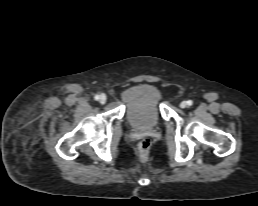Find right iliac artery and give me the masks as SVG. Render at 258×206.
I'll return each instance as SVG.
<instances>
[{"mask_svg": "<svg viewBox=\"0 0 258 206\" xmlns=\"http://www.w3.org/2000/svg\"><path fill=\"white\" fill-rule=\"evenodd\" d=\"M99 97H100L99 95H95V96H94V99H95V100H99Z\"/></svg>", "mask_w": 258, "mask_h": 206, "instance_id": "right-iliac-artery-1", "label": "right iliac artery"}]
</instances>
